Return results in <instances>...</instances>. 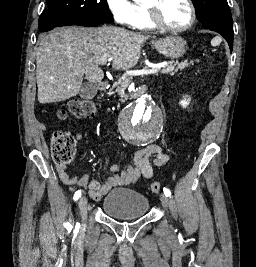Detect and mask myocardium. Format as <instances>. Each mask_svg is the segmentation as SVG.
I'll return each instance as SVG.
<instances>
[{"label":"myocardium","mask_w":256,"mask_h":267,"mask_svg":"<svg viewBox=\"0 0 256 267\" xmlns=\"http://www.w3.org/2000/svg\"><path fill=\"white\" fill-rule=\"evenodd\" d=\"M163 1L167 0H147V12L144 20L153 23L152 28L148 31L158 30L162 32L182 33L194 26L196 22V11L193 4L189 0H181L188 6L190 10V20L185 26L176 28L170 25L162 24L157 17L156 10L158 9L160 3H162Z\"/></svg>","instance_id":"1"}]
</instances>
